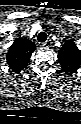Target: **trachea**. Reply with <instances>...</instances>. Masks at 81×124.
Returning a JSON list of instances; mask_svg holds the SVG:
<instances>
[{
  "mask_svg": "<svg viewBox=\"0 0 81 124\" xmlns=\"http://www.w3.org/2000/svg\"><path fill=\"white\" fill-rule=\"evenodd\" d=\"M38 42L42 43L47 40V34L45 32H40L37 36Z\"/></svg>",
  "mask_w": 81,
  "mask_h": 124,
  "instance_id": "1",
  "label": "trachea"
}]
</instances>
